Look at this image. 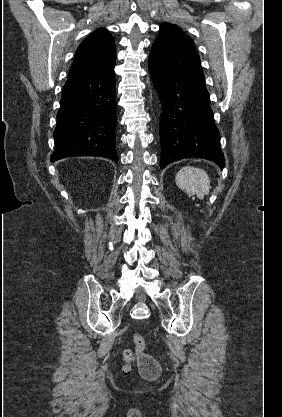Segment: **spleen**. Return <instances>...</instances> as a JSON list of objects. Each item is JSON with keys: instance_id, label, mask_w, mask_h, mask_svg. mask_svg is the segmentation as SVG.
I'll use <instances>...</instances> for the list:
<instances>
[{"instance_id": "spleen-1", "label": "spleen", "mask_w": 282, "mask_h": 417, "mask_svg": "<svg viewBox=\"0 0 282 417\" xmlns=\"http://www.w3.org/2000/svg\"><path fill=\"white\" fill-rule=\"evenodd\" d=\"M176 184L189 196L197 194L198 198H204V194H208L211 188L206 170L195 168V166H183L181 170H178Z\"/></svg>"}]
</instances>
